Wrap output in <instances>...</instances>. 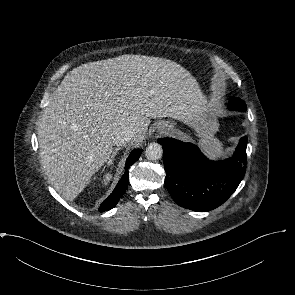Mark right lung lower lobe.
Listing matches in <instances>:
<instances>
[{
	"label": "right lung lower lobe",
	"mask_w": 295,
	"mask_h": 295,
	"mask_svg": "<svg viewBox=\"0 0 295 295\" xmlns=\"http://www.w3.org/2000/svg\"><path fill=\"white\" fill-rule=\"evenodd\" d=\"M142 151H143L142 149H135L130 153L125 165V172L122 178L119 180L117 186L115 187L113 192L109 195V197L101 204L99 208L100 212L108 211L112 209L117 204L121 196L125 193L129 184V173L127 169L129 168L130 165H132L134 162H136L139 159Z\"/></svg>",
	"instance_id": "right-lung-lower-lobe-1"
}]
</instances>
